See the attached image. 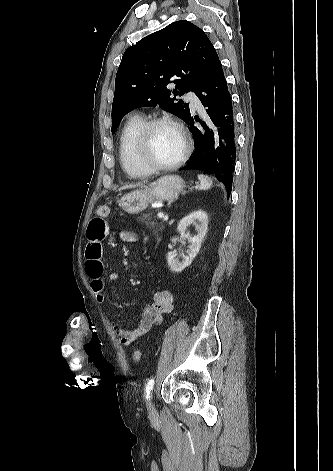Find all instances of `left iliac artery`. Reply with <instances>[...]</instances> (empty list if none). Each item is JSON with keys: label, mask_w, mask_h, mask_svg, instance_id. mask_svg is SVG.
<instances>
[{"label": "left iliac artery", "mask_w": 333, "mask_h": 471, "mask_svg": "<svg viewBox=\"0 0 333 471\" xmlns=\"http://www.w3.org/2000/svg\"><path fill=\"white\" fill-rule=\"evenodd\" d=\"M154 386V379H150L146 385V400L150 399V393Z\"/></svg>", "instance_id": "44dca946"}]
</instances>
